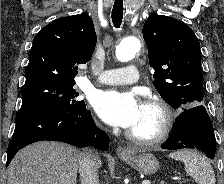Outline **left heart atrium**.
Instances as JSON below:
<instances>
[{"instance_id":"left-heart-atrium-1","label":"left heart atrium","mask_w":224,"mask_h":184,"mask_svg":"<svg viewBox=\"0 0 224 184\" xmlns=\"http://www.w3.org/2000/svg\"><path fill=\"white\" fill-rule=\"evenodd\" d=\"M93 106L107 124L130 129L139 118L142 104L133 93L103 91L96 94Z\"/></svg>"}]
</instances>
